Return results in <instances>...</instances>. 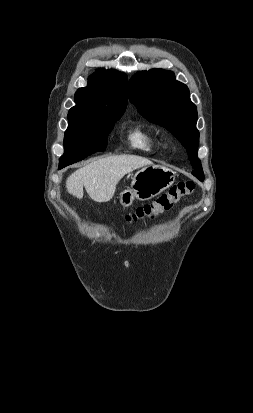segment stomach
<instances>
[{
    "label": "stomach",
    "mask_w": 253,
    "mask_h": 413,
    "mask_svg": "<svg viewBox=\"0 0 253 413\" xmlns=\"http://www.w3.org/2000/svg\"><path fill=\"white\" fill-rule=\"evenodd\" d=\"M175 180V173L161 165L140 169L132 178L131 187L120 193V203L129 207L134 199L149 200L169 188Z\"/></svg>",
    "instance_id": "stomach-1"
}]
</instances>
